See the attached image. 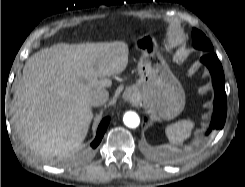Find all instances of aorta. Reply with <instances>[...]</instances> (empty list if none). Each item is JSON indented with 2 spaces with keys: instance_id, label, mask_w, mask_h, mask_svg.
<instances>
[{
  "instance_id": "aorta-1",
  "label": "aorta",
  "mask_w": 245,
  "mask_h": 187,
  "mask_svg": "<svg viewBox=\"0 0 245 187\" xmlns=\"http://www.w3.org/2000/svg\"><path fill=\"white\" fill-rule=\"evenodd\" d=\"M123 122L129 128H136L140 124V118L136 112L128 111L124 114Z\"/></svg>"
}]
</instances>
